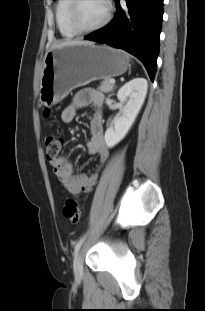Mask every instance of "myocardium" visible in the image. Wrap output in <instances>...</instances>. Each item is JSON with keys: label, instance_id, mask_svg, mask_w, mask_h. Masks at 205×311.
<instances>
[{"label": "myocardium", "instance_id": "f54148a6", "mask_svg": "<svg viewBox=\"0 0 205 311\" xmlns=\"http://www.w3.org/2000/svg\"><path fill=\"white\" fill-rule=\"evenodd\" d=\"M81 1L82 0H71L68 13L70 25L78 34H87L99 31L110 22L112 17V6L109 1L105 0V3L107 5V12L104 19L99 24L93 27H83L78 17V9Z\"/></svg>", "mask_w": 205, "mask_h": 311}]
</instances>
